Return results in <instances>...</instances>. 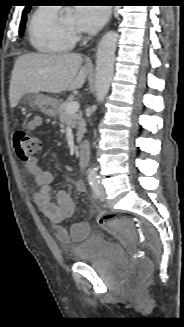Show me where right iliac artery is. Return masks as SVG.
<instances>
[{
    "label": "right iliac artery",
    "instance_id": "right-iliac-artery-1",
    "mask_svg": "<svg viewBox=\"0 0 184 327\" xmlns=\"http://www.w3.org/2000/svg\"><path fill=\"white\" fill-rule=\"evenodd\" d=\"M95 179H96V178H94V177H90V178L88 179V181H89V183L91 184Z\"/></svg>",
    "mask_w": 184,
    "mask_h": 327
}]
</instances>
